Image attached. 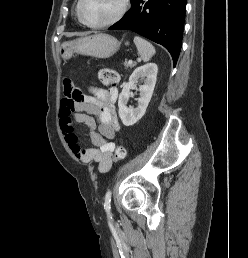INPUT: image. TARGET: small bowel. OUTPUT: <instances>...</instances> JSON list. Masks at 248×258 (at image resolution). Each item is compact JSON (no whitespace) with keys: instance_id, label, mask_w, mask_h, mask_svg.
<instances>
[{"instance_id":"c3829d8e","label":"small bowel","mask_w":248,"mask_h":258,"mask_svg":"<svg viewBox=\"0 0 248 258\" xmlns=\"http://www.w3.org/2000/svg\"><path fill=\"white\" fill-rule=\"evenodd\" d=\"M117 98L116 88H94L92 96H79L71 81L64 82L60 125L65 141L76 159L83 163H97L100 173L109 171L113 163L116 146L112 139L119 131L115 110ZM74 123L87 125L93 147L83 149L80 146Z\"/></svg>"}]
</instances>
